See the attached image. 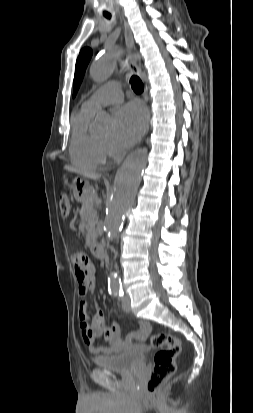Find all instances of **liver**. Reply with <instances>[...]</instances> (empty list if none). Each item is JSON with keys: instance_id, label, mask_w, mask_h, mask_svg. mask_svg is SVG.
Segmentation results:
<instances>
[{"instance_id": "obj_1", "label": "liver", "mask_w": 253, "mask_h": 413, "mask_svg": "<svg viewBox=\"0 0 253 413\" xmlns=\"http://www.w3.org/2000/svg\"><path fill=\"white\" fill-rule=\"evenodd\" d=\"M64 169H65V170H68V171H70V172H75V173L82 174V175H84L85 177H88V178H91V179H94V180L99 179L100 176H101V175L95 174V173L82 172V171H80L79 169L74 168V167H71V166H65Z\"/></svg>"}]
</instances>
